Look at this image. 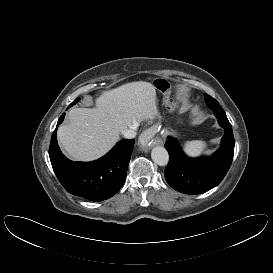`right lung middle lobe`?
I'll return each instance as SVG.
<instances>
[{"label":"right lung middle lobe","mask_w":273,"mask_h":273,"mask_svg":"<svg viewBox=\"0 0 273 273\" xmlns=\"http://www.w3.org/2000/svg\"><path fill=\"white\" fill-rule=\"evenodd\" d=\"M79 100H80V98L78 97L77 99H75V100L70 104L69 107L75 105Z\"/></svg>","instance_id":"obj_1"}]
</instances>
